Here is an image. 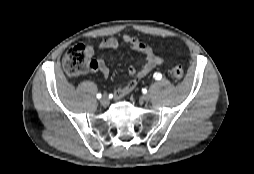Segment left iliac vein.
Listing matches in <instances>:
<instances>
[{
  "mask_svg": "<svg viewBox=\"0 0 254 174\" xmlns=\"http://www.w3.org/2000/svg\"><path fill=\"white\" fill-rule=\"evenodd\" d=\"M150 98H151V96H150V94H149V93H147V94L143 95V97H142V99H143L144 101H149V100H150Z\"/></svg>",
  "mask_w": 254,
  "mask_h": 174,
  "instance_id": "left-iliac-vein-1",
  "label": "left iliac vein"
}]
</instances>
